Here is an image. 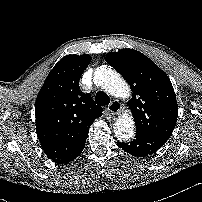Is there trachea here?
<instances>
[{"label": "trachea", "mask_w": 202, "mask_h": 202, "mask_svg": "<svg viewBox=\"0 0 202 202\" xmlns=\"http://www.w3.org/2000/svg\"><path fill=\"white\" fill-rule=\"evenodd\" d=\"M95 101L100 106H107L110 103L109 97L102 91L96 93Z\"/></svg>", "instance_id": "obj_1"}]
</instances>
